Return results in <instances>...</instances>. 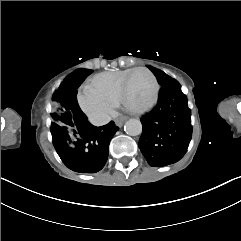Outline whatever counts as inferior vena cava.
Wrapping results in <instances>:
<instances>
[{
  "mask_svg": "<svg viewBox=\"0 0 241 241\" xmlns=\"http://www.w3.org/2000/svg\"><path fill=\"white\" fill-rule=\"evenodd\" d=\"M110 121H111V117L109 115H102L99 117H94L91 120V123L95 126H102V125H106Z\"/></svg>",
  "mask_w": 241,
  "mask_h": 241,
  "instance_id": "1",
  "label": "inferior vena cava"
}]
</instances>
